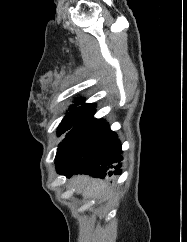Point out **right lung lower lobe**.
Here are the masks:
<instances>
[{
    "label": "right lung lower lobe",
    "instance_id": "98d812e1",
    "mask_svg": "<svg viewBox=\"0 0 187 242\" xmlns=\"http://www.w3.org/2000/svg\"><path fill=\"white\" fill-rule=\"evenodd\" d=\"M122 160L117 134L107 122L95 120L66 135L58 145L55 164L68 177L75 173L105 178L121 174Z\"/></svg>",
    "mask_w": 187,
    "mask_h": 242
}]
</instances>
